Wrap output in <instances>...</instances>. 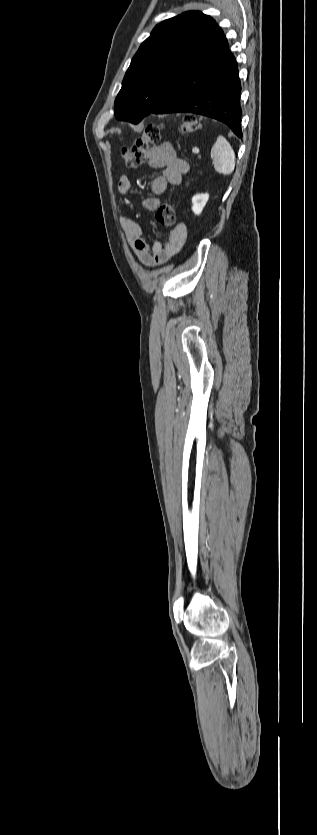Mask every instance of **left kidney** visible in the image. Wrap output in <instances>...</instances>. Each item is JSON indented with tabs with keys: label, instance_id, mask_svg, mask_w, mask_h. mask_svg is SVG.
I'll return each instance as SVG.
<instances>
[{
	"label": "left kidney",
	"instance_id": "1",
	"mask_svg": "<svg viewBox=\"0 0 317 835\" xmlns=\"http://www.w3.org/2000/svg\"><path fill=\"white\" fill-rule=\"evenodd\" d=\"M208 199H209V194H207V193H204V194L201 193V194L194 195L192 197V211L196 215H200L202 213L203 208L205 207Z\"/></svg>",
	"mask_w": 317,
	"mask_h": 835
}]
</instances>
